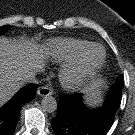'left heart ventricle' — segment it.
<instances>
[{
    "mask_svg": "<svg viewBox=\"0 0 135 135\" xmlns=\"http://www.w3.org/2000/svg\"><path fill=\"white\" fill-rule=\"evenodd\" d=\"M102 52L100 48H93L90 52V60L91 62H96L101 58Z\"/></svg>",
    "mask_w": 135,
    "mask_h": 135,
    "instance_id": "obj_1",
    "label": "left heart ventricle"
}]
</instances>
